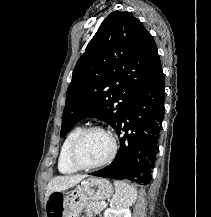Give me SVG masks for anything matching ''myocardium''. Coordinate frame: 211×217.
<instances>
[{"label":"myocardium","instance_id":"1","mask_svg":"<svg viewBox=\"0 0 211 217\" xmlns=\"http://www.w3.org/2000/svg\"><path fill=\"white\" fill-rule=\"evenodd\" d=\"M92 131H102L106 133L111 140L112 147H111V151L109 155L104 160L98 163H95V164H84L78 158V150H79V147L84 137L89 132H92ZM116 154H117V141H116L115 136L112 134V132L104 127L93 125V126H88L86 128H83L80 131V133L77 135L75 140L73 141L71 149H70V161L78 169H83V170L96 169V168L103 167L109 164L110 162H112Z\"/></svg>","mask_w":211,"mask_h":217}]
</instances>
